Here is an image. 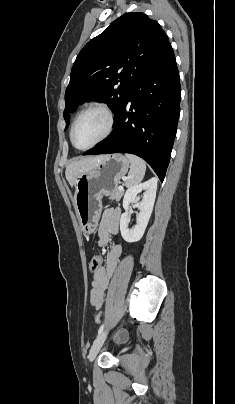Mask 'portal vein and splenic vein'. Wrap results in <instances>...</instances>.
Listing matches in <instances>:
<instances>
[{
  "label": "portal vein and splenic vein",
  "instance_id": "1",
  "mask_svg": "<svg viewBox=\"0 0 235 404\" xmlns=\"http://www.w3.org/2000/svg\"><path fill=\"white\" fill-rule=\"evenodd\" d=\"M119 190L121 191L124 190L123 186H119Z\"/></svg>",
  "mask_w": 235,
  "mask_h": 404
}]
</instances>
